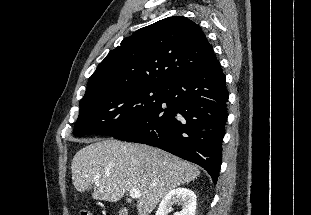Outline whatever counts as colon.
Returning a JSON list of instances; mask_svg holds the SVG:
<instances>
[{"label":"colon","mask_w":311,"mask_h":215,"mask_svg":"<svg viewBox=\"0 0 311 215\" xmlns=\"http://www.w3.org/2000/svg\"><path fill=\"white\" fill-rule=\"evenodd\" d=\"M80 215H92L89 211H82Z\"/></svg>","instance_id":"colon-1"}]
</instances>
